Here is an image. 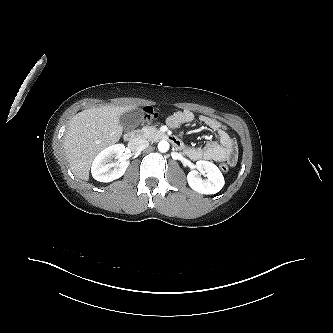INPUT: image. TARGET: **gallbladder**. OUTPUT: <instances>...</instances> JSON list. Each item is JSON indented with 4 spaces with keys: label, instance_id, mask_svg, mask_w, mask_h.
Here are the masks:
<instances>
[{
    "label": "gallbladder",
    "instance_id": "bac80fb5",
    "mask_svg": "<svg viewBox=\"0 0 333 333\" xmlns=\"http://www.w3.org/2000/svg\"><path fill=\"white\" fill-rule=\"evenodd\" d=\"M142 120V112L130 110L120 116V124L127 132L133 131Z\"/></svg>",
    "mask_w": 333,
    "mask_h": 333
}]
</instances>
